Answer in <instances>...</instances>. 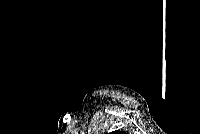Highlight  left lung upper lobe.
Wrapping results in <instances>:
<instances>
[{
	"label": "left lung upper lobe",
	"mask_w": 200,
	"mask_h": 134,
	"mask_svg": "<svg viewBox=\"0 0 200 134\" xmlns=\"http://www.w3.org/2000/svg\"><path fill=\"white\" fill-rule=\"evenodd\" d=\"M110 134H124V132L115 131V132H111Z\"/></svg>",
	"instance_id": "left-lung-upper-lobe-1"
}]
</instances>
